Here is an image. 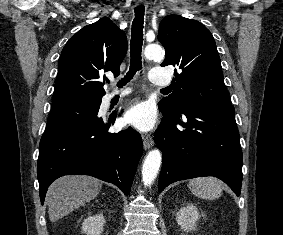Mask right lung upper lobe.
<instances>
[{
	"mask_svg": "<svg viewBox=\"0 0 283 235\" xmlns=\"http://www.w3.org/2000/svg\"><path fill=\"white\" fill-rule=\"evenodd\" d=\"M126 52V35L109 18L82 28L62 50L53 103L72 98H102L103 73L112 71L118 76Z\"/></svg>",
	"mask_w": 283,
	"mask_h": 235,
	"instance_id": "cb5924a9",
	"label": "right lung upper lobe"
}]
</instances>
